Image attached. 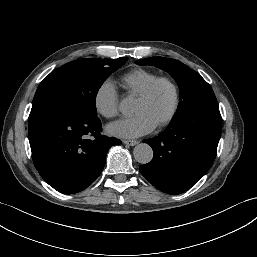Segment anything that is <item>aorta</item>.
<instances>
[{"instance_id":"1","label":"aorta","mask_w":257,"mask_h":257,"mask_svg":"<svg viewBox=\"0 0 257 257\" xmlns=\"http://www.w3.org/2000/svg\"><path fill=\"white\" fill-rule=\"evenodd\" d=\"M119 109L122 113L127 114L133 109V101L130 98H123L119 104ZM134 158L140 164H147L153 158V150L150 145L140 143L134 148Z\"/></svg>"}]
</instances>
